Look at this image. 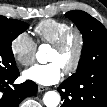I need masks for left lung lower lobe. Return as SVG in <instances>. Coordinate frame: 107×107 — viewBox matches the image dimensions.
I'll use <instances>...</instances> for the list:
<instances>
[{
  "label": "left lung lower lobe",
  "mask_w": 107,
  "mask_h": 107,
  "mask_svg": "<svg viewBox=\"0 0 107 107\" xmlns=\"http://www.w3.org/2000/svg\"><path fill=\"white\" fill-rule=\"evenodd\" d=\"M82 88L86 90L83 107H107V77L95 76L82 82ZM77 87L66 80L58 88L64 103L61 107H67L66 97L74 96Z\"/></svg>",
  "instance_id": "0a47b994"
}]
</instances>
